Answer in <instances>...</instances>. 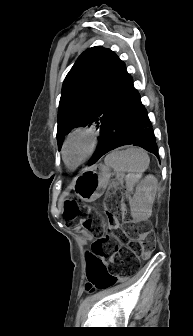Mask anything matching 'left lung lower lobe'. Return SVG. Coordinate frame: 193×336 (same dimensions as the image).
<instances>
[{"label": "left lung lower lobe", "instance_id": "obj_1", "mask_svg": "<svg viewBox=\"0 0 193 336\" xmlns=\"http://www.w3.org/2000/svg\"><path fill=\"white\" fill-rule=\"evenodd\" d=\"M124 145L142 147L159 157L147 111L141 104L140 95L133 87V80L128 73L113 107L100 126V142L89 165Z\"/></svg>", "mask_w": 193, "mask_h": 336}]
</instances>
